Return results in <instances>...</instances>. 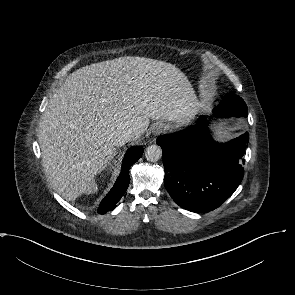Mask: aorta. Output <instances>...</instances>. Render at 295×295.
<instances>
[{
    "label": "aorta",
    "mask_w": 295,
    "mask_h": 295,
    "mask_svg": "<svg viewBox=\"0 0 295 295\" xmlns=\"http://www.w3.org/2000/svg\"><path fill=\"white\" fill-rule=\"evenodd\" d=\"M162 157V150L158 145H150L145 151V158L150 162H156Z\"/></svg>",
    "instance_id": "aorta-1"
}]
</instances>
